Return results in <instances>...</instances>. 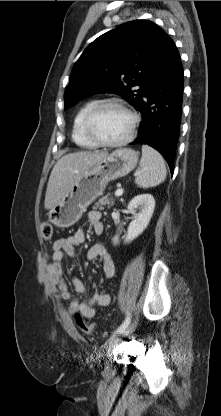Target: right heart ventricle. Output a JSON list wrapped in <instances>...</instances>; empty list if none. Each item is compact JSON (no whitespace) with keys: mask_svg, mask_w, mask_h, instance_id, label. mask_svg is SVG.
<instances>
[{"mask_svg":"<svg viewBox=\"0 0 221 416\" xmlns=\"http://www.w3.org/2000/svg\"><path fill=\"white\" fill-rule=\"evenodd\" d=\"M98 103V100L92 99L85 102L76 112L73 120L72 138L73 141L83 148H94L97 145L91 141L84 131V120L88 112Z\"/></svg>","mask_w":221,"mask_h":416,"instance_id":"obj_1","label":"right heart ventricle"}]
</instances>
